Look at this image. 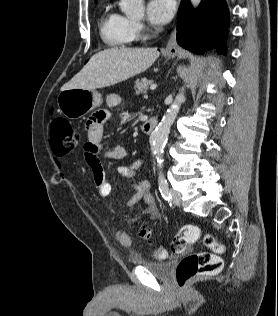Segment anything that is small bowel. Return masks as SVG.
I'll use <instances>...</instances> for the list:
<instances>
[{
  "label": "small bowel",
  "instance_id": "c3829d8e",
  "mask_svg": "<svg viewBox=\"0 0 278 316\" xmlns=\"http://www.w3.org/2000/svg\"><path fill=\"white\" fill-rule=\"evenodd\" d=\"M107 105L110 108H117L122 104V97L117 94H110L107 97ZM109 115L106 111H98L88 120L86 125L87 142L82 149V157L89 166L93 181L101 197L107 199L106 205L111 210L116 209L115 204L109 200L111 194V184L108 182L100 158L110 160H122L126 157L127 151L123 146L106 148L103 143V129ZM144 160L138 159L130 165L117 167L118 174L126 180L132 181L131 187L134 190L133 196L124 203L125 208H130L139 201H143L147 206V212L151 219L155 220L160 216L155 198L151 193V184L148 180H135L137 170L143 165ZM113 235L124 246H130L131 238L121 229L110 224Z\"/></svg>",
  "mask_w": 278,
  "mask_h": 316
}]
</instances>
